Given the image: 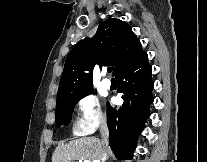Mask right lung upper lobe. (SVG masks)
Returning a JSON list of instances; mask_svg holds the SVG:
<instances>
[{"mask_svg":"<svg viewBox=\"0 0 207 162\" xmlns=\"http://www.w3.org/2000/svg\"><path fill=\"white\" fill-rule=\"evenodd\" d=\"M144 54L128 24L115 18L101 22L95 36L81 40L68 55L57 99L91 91L96 63L113 66L116 75Z\"/></svg>","mask_w":207,"mask_h":162,"instance_id":"obj_1","label":"right lung upper lobe"}]
</instances>
